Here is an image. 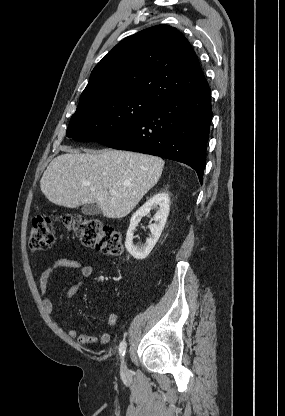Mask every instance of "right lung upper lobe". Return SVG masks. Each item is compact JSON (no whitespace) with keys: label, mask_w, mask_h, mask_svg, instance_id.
<instances>
[{"label":"right lung upper lobe","mask_w":285,"mask_h":416,"mask_svg":"<svg viewBox=\"0 0 285 416\" xmlns=\"http://www.w3.org/2000/svg\"><path fill=\"white\" fill-rule=\"evenodd\" d=\"M207 86L184 35L158 25L125 38L97 64L77 109L132 96L160 106Z\"/></svg>","instance_id":"1"}]
</instances>
